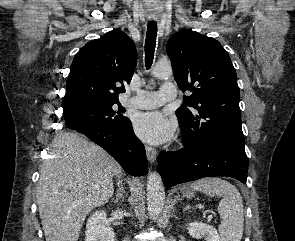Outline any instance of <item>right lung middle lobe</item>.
<instances>
[{"mask_svg":"<svg viewBox=\"0 0 295 241\" xmlns=\"http://www.w3.org/2000/svg\"><path fill=\"white\" fill-rule=\"evenodd\" d=\"M114 104L118 105V110H115ZM124 111L119 102H114L78 107L63 112V115L68 128L83 123H102L113 127H124L129 123V119L121 115Z\"/></svg>","mask_w":295,"mask_h":241,"instance_id":"1","label":"right lung middle lobe"}]
</instances>
